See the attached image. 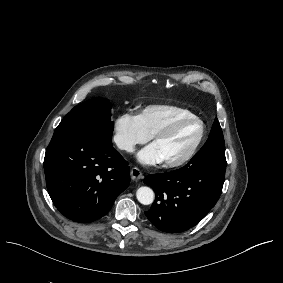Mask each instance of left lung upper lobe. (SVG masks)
Instances as JSON below:
<instances>
[{"label": "left lung upper lobe", "mask_w": 283, "mask_h": 283, "mask_svg": "<svg viewBox=\"0 0 283 283\" xmlns=\"http://www.w3.org/2000/svg\"><path fill=\"white\" fill-rule=\"evenodd\" d=\"M204 145H217L220 148H225L222 129L217 118H215L210 136Z\"/></svg>", "instance_id": "obj_1"}]
</instances>
